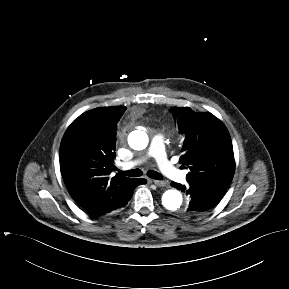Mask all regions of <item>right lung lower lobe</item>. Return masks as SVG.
Instances as JSON below:
<instances>
[{"instance_id": "right-lung-lower-lobe-1", "label": "right lung lower lobe", "mask_w": 289, "mask_h": 289, "mask_svg": "<svg viewBox=\"0 0 289 289\" xmlns=\"http://www.w3.org/2000/svg\"><path fill=\"white\" fill-rule=\"evenodd\" d=\"M146 180L145 179H136L135 187L140 185V184H145ZM135 189V188H134ZM132 196V195H131ZM130 196V198H131Z\"/></svg>"}]
</instances>
